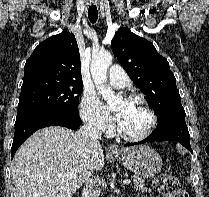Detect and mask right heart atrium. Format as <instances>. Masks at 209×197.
<instances>
[{
  "label": "right heart atrium",
  "instance_id": "obj_1",
  "mask_svg": "<svg viewBox=\"0 0 209 197\" xmlns=\"http://www.w3.org/2000/svg\"><path fill=\"white\" fill-rule=\"evenodd\" d=\"M79 108L80 116L89 128L100 133H107L111 130V117L95 95L84 92Z\"/></svg>",
  "mask_w": 209,
  "mask_h": 197
}]
</instances>
